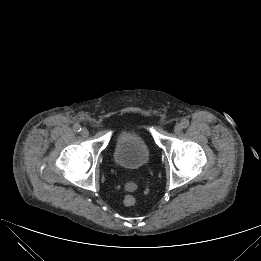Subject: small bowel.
Listing matches in <instances>:
<instances>
[{
    "label": "small bowel",
    "instance_id": "c3829d8e",
    "mask_svg": "<svg viewBox=\"0 0 261 261\" xmlns=\"http://www.w3.org/2000/svg\"><path fill=\"white\" fill-rule=\"evenodd\" d=\"M128 190H129V191L134 190L133 186H129V187H128Z\"/></svg>",
    "mask_w": 261,
    "mask_h": 261
}]
</instances>
